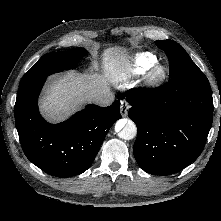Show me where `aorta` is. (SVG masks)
Instances as JSON below:
<instances>
[{
	"mask_svg": "<svg viewBox=\"0 0 221 221\" xmlns=\"http://www.w3.org/2000/svg\"><path fill=\"white\" fill-rule=\"evenodd\" d=\"M115 131L119 138L131 140L137 135V127L132 120L120 119L115 125Z\"/></svg>",
	"mask_w": 221,
	"mask_h": 221,
	"instance_id": "762f6f07",
	"label": "aorta"
}]
</instances>
